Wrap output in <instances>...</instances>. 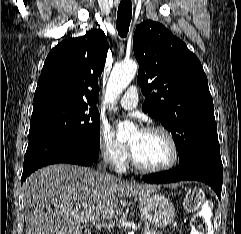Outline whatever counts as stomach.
<instances>
[{
    "mask_svg": "<svg viewBox=\"0 0 241 234\" xmlns=\"http://www.w3.org/2000/svg\"><path fill=\"white\" fill-rule=\"evenodd\" d=\"M139 208L144 218L154 227L167 226L175 217L174 204L162 194L152 192L139 196Z\"/></svg>",
    "mask_w": 241,
    "mask_h": 234,
    "instance_id": "stomach-1",
    "label": "stomach"
}]
</instances>
